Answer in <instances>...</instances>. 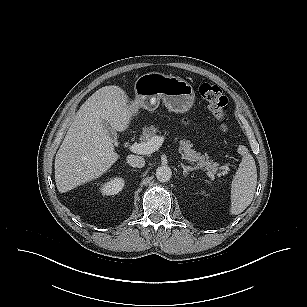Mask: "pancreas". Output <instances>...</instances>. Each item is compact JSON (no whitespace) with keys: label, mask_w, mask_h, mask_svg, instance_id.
Here are the masks:
<instances>
[{"label":"pancreas","mask_w":307,"mask_h":307,"mask_svg":"<svg viewBox=\"0 0 307 307\" xmlns=\"http://www.w3.org/2000/svg\"><path fill=\"white\" fill-rule=\"evenodd\" d=\"M157 132L158 128L154 125L145 126L140 137L141 142H148L154 135H156ZM179 144V151L182 153L183 158L192 164L196 163L195 168H201L212 173L217 172L219 164L213 162V160H209V156L207 154L202 155L201 153L193 150L190 141L180 140Z\"/></svg>","instance_id":"1"}]
</instances>
